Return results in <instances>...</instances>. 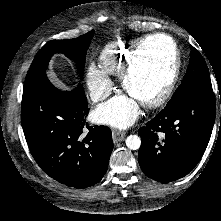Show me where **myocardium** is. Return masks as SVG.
Wrapping results in <instances>:
<instances>
[{"label":"myocardium","mask_w":221,"mask_h":221,"mask_svg":"<svg viewBox=\"0 0 221 221\" xmlns=\"http://www.w3.org/2000/svg\"><path fill=\"white\" fill-rule=\"evenodd\" d=\"M157 37L165 38L170 42L172 49V63L169 68V75L165 84L155 90L149 99L140 101V104L146 108L159 107L168 99L173 91L181 68V56L175 39L167 33H155L144 36L132 49L128 61L119 76L122 89L129 94L128 81L137 64L140 53L149 41Z\"/></svg>","instance_id":"obj_1"}]
</instances>
